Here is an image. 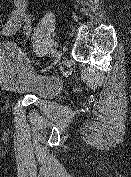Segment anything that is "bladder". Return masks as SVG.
I'll return each instance as SVG.
<instances>
[{"mask_svg": "<svg viewBox=\"0 0 131 177\" xmlns=\"http://www.w3.org/2000/svg\"><path fill=\"white\" fill-rule=\"evenodd\" d=\"M0 85L8 94L42 99L53 98L62 90L58 76L35 71L25 53L12 43L0 47Z\"/></svg>", "mask_w": 131, "mask_h": 177, "instance_id": "bladder-1", "label": "bladder"}]
</instances>
